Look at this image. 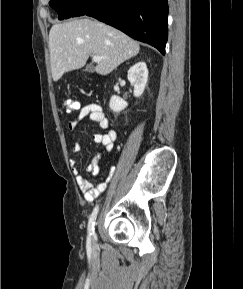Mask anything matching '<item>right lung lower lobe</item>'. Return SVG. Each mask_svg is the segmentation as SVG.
I'll list each match as a JSON object with an SVG mask.
<instances>
[{
	"instance_id": "1",
	"label": "right lung lower lobe",
	"mask_w": 243,
	"mask_h": 289,
	"mask_svg": "<svg viewBox=\"0 0 243 289\" xmlns=\"http://www.w3.org/2000/svg\"><path fill=\"white\" fill-rule=\"evenodd\" d=\"M87 15L111 25L165 54L167 0H88L71 17Z\"/></svg>"
}]
</instances>
